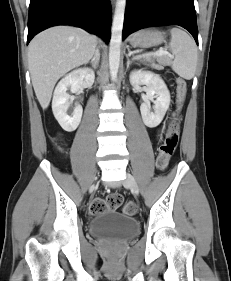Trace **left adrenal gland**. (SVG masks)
<instances>
[{"mask_svg": "<svg viewBox=\"0 0 231 281\" xmlns=\"http://www.w3.org/2000/svg\"><path fill=\"white\" fill-rule=\"evenodd\" d=\"M126 58H127V63H126V67L127 69L129 68L130 64L132 63V61L129 58V55L126 54Z\"/></svg>", "mask_w": 231, "mask_h": 281, "instance_id": "obj_1", "label": "left adrenal gland"}]
</instances>
